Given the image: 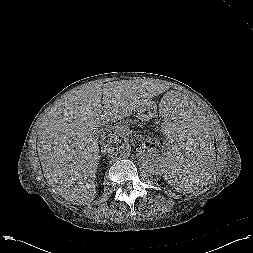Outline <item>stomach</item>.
Masks as SVG:
<instances>
[{"mask_svg": "<svg viewBox=\"0 0 253 253\" xmlns=\"http://www.w3.org/2000/svg\"><path fill=\"white\" fill-rule=\"evenodd\" d=\"M138 117L143 121H148L154 117L155 111L152 104H146L137 110Z\"/></svg>", "mask_w": 253, "mask_h": 253, "instance_id": "stomach-1", "label": "stomach"}]
</instances>
